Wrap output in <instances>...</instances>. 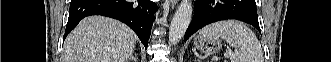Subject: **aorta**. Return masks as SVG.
Wrapping results in <instances>:
<instances>
[{"label": "aorta", "mask_w": 331, "mask_h": 62, "mask_svg": "<svg viewBox=\"0 0 331 62\" xmlns=\"http://www.w3.org/2000/svg\"><path fill=\"white\" fill-rule=\"evenodd\" d=\"M192 18L190 0H182L171 21L169 28V43L176 45L183 38Z\"/></svg>", "instance_id": "1"}]
</instances>
